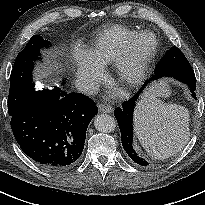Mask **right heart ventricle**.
<instances>
[{"label": "right heart ventricle", "instance_id": "1", "mask_svg": "<svg viewBox=\"0 0 205 205\" xmlns=\"http://www.w3.org/2000/svg\"><path fill=\"white\" fill-rule=\"evenodd\" d=\"M136 35V31L122 26L109 27L99 33L89 55L99 65L113 63L128 51Z\"/></svg>", "mask_w": 205, "mask_h": 205}]
</instances>
